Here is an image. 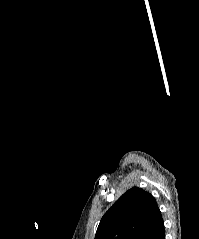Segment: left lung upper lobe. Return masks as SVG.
<instances>
[{
  "label": "left lung upper lobe",
  "mask_w": 199,
  "mask_h": 239,
  "mask_svg": "<svg viewBox=\"0 0 199 239\" xmlns=\"http://www.w3.org/2000/svg\"><path fill=\"white\" fill-rule=\"evenodd\" d=\"M161 220L154 197L133 187L103 215L95 239H151Z\"/></svg>",
  "instance_id": "1"
}]
</instances>
